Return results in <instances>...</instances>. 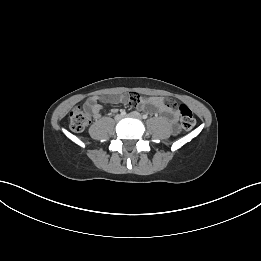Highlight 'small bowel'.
Masks as SVG:
<instances>
[{
  "label": "small bowel",
  "instance_id": "1",
  "mask_svg": "<svg viewBox=\"0 0 261 261\" xmlns=\"http://www.w3.org/2000/svg\"><path fill=\"white\" fill-rule=\"evenodd\" d=\"M128 102L137 105L138 109L144 112L160 115L170 124L174 133L178 132L179 112L168 105L163 97H146L144 94H137L136 92L125 93L124 95L92 96L85 100L83 107L90 111L95 119H99L103 110L100 103L127 104Z\"/></svg>",
  "mask_w": 261,
  "mask_h": 261
}]
</instances>
